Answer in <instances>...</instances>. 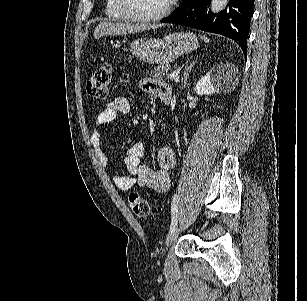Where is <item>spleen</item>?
<instances>
[{
  "mask_svg": "<svg viewBox=\"0 0 307 301\" xmlns=\"http://www.w3.org/2000/svg\"><path fill=\"white\" fill-rule=\"evenodd\" d=\"M200 38H203L205 42H210V38H208V36H200Z\"/></svg>",
  "mask_w": 307,
  "mask_h": 301,
  "instance_id": "spleen-1",
  "label": "spleen"
}]
</instances>
